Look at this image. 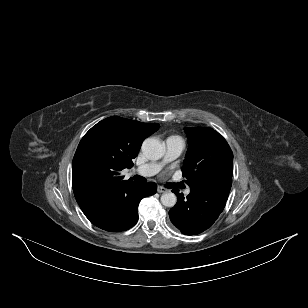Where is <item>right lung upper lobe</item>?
Here are the masks:
<instances>
[{
  "label": "right lung upper lobe",
  "instance_id": "right-lung-upper-lobe-1",
  "mask_svg": "<svg viewBox=\"0 0 308 308\" xmlns=\"http://www.w3.org/2000/svg\"><path fill=\"white\" fill-rule=\"evenodd\" d=\"M159 127L112 116L84 135L73 158L72 182L85 215L111 208L136 185L123 180L120 171L133 166L143 140Z\"/></svg>",
  "mask_w": 308,
  "mask_h": 308
}]
</instances>
